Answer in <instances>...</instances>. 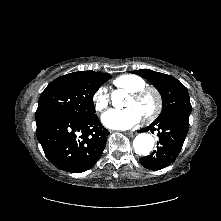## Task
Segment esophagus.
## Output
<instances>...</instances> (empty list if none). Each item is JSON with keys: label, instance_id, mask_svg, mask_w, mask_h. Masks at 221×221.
I'll return each instance as SVG.
<instances>
[{"label": "esophagus", "instance_id": "obj_1", "mask_svg": "<svg viewBox=\"0 0 221 221\" xmlns=\"http://www.w3.org/2000/svg\"><path fill=\"white\" fill-rule=\"evenodd\" d=\"M127 134L130 136H133L134 133L132 131H129V132H127Z\"/></svg>", "mask_w": 221, "mask_h": 221}]
</instances>
